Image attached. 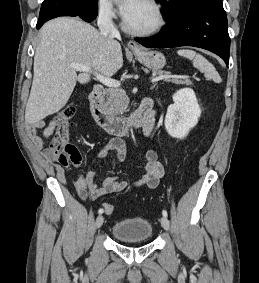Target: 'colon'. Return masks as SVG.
I'll list each match as a JSON object with an SVG mask.
<instances>
[{"mask_svg":"<svg viewBox=\"0 0 259 283\" xmlns=\"http://www.w3.org/2000/svg\"><path fill=\"white\" fill-rule=\"evenodd\" d=\"M76 113V105L69 103L55 116V133L45 151L46 157L62 165H76L81 162L82 156L77 147L68 142L72 119ZM106 214H112L114 206L111 203L103 205Z\"/></svg>","mask_w":259,"mask_h":283,"instance_id":"colon-1","label":"colon"}]
</instances>
